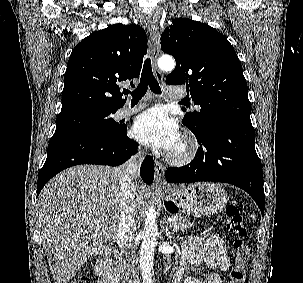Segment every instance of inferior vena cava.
<instances>
[{
	"instance_id": "1",
	"label": "inferior vena cava",
	"mask_w": 303,
	"mask_h": 283,
	"mask_svg": "<svg viewBox=\"0 0 303 283\" xmlns=\"http://www.w3.org/2000/svg\"><path fill=\"white\" fill-rule=\"evenodd\" d=\"M143 154L140 151L121 166L122 212L119 220L117 240L122 246L126 283H140L137 253L132 244L136 228L134 215L136 194L133 182L139 177Z\"/></svg>"
}]
</instances>
